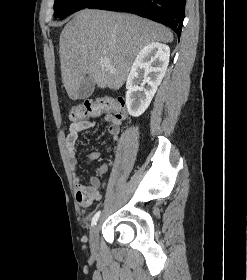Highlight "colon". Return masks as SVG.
Wrapping results in <instances>:
<instances>
[{"instance_id": "1", "label": "colon", "mask_w": 247, "mask_h": 280, "mask_svg": "<svg viewBox=\"0 0 247 280\" xmlns=\"http://www.w3.org/2000/svg\"><path fill=\"white\" fill-rule=\"evenodd\" d=\"M100 115H113L118 119H123L125 117L124 100L111 98L87 99L71 108L69 118L72 121H81L88 117Z\"/></svg>"}]
</instances>
